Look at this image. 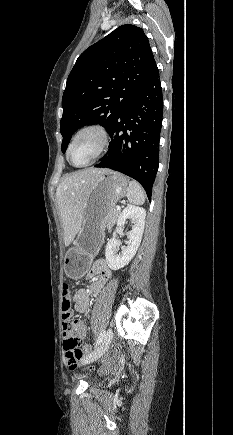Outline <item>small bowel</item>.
Instances as JSON below:
<instances>
[{
  "label": "small bowel",
  "instance_id": "small-bowel-1",
  "mask_svg": "<svg viewBox=\"0 0 233 435\" xmlns=\"http://www.w3.org/2000/svg\"><path fill=\"white\" fill-rule=\"evenodd\" d=\"M86 276L88 279L91 280V284L88 287L77 289L71 296V300L74 304V309L79 313H85L89 310L91 304V297L98 296L103 287L109 282L111 278V272L106 264L105 259L99 258L98 260H96ZM68 326L77 327L81 336L83 338H86L88 328L82 320H70L64 318L63 329ZM82 350L86 351L87 348L83 347Z\"/></svg>",
  "mask_w": 233,
  "mask_h": 435
}]
</instances>
